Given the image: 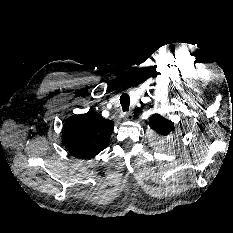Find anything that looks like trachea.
Masks as SVG:
<instances>
[{"label": "trachea", "instance_id": "trachea-1", "mask_svg": "<svg viewBox=\"0 0 233 233\" xmlns=\"http://www.w3.org/2000/svg\"><path fill=\"white\" fill-rule=\"evenodd\" d=\"M120 104L122 106V109L124 112H127L129 110V105H130V97L127 93H123L120 96Z\"/></svg>", "mask_w": 233, "mask_h": 233}]
</instances>
